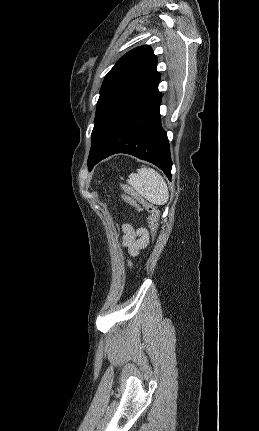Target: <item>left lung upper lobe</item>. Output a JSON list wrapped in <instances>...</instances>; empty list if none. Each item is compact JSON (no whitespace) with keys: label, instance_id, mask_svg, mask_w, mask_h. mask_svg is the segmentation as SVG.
Instances as JSON below:
<instances>
[{"label":"left lung upper lobe","instance_id":"obj_1","mask_svg":"<svg viewBox=\"0 0 259 431\" xmlns=\"http://www.w3.org/2000/svg\"><path fill=\"white\" fill-rule=\"evenodd\" d=\"M157 57L149 45L123 55L105 76L97 103L88 160L118 122L158 88Z\"/></svg>","mask_w":259,"mask_h":431}]
</instances>
